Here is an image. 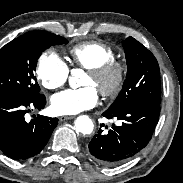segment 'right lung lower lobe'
Wrapping results in <instances>:
<instances>
[{
	"label": "right lung lower lobe",
	"mask_w": 183,
	"mask_h": 183,
	"mask_svg": "<svg viewBox=\"0 0 183 183\" xmlns=\"http://www.w3.org/2000/svg\"><path fill=\"white\" fill-rule=\"evenodd\" d=\"M46 104L43 94H5L0 96V151L14 160L37 155L47 144L57 118L38 115L30 122L24 115L30 109L41 110Z\"/></svg>",
	"instance_id": "right-lung-lower-lobe-1"
}]
</instances>
